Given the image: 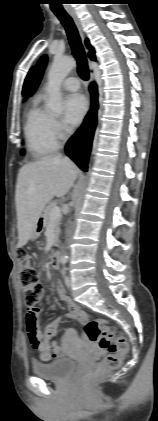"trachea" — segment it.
I'll return each mask as SVG.
<instances>
[{
  "instance_id": "3493384b",
  "label": "trachea",
  "mask_w": 158,
  "mask_h": 421,
  "mask_svg": "<svg viewBox=\"0 0 158 421\" xmlns=\"http://www.w3.org/2000/svg\"><path fill=\"white\" fill-rule=\"evenodd\" d=\"M55 15L66 30L73 56L77 61L78 74L83 80L86 81L89 78L87 60L81 44L78 30L73 22V19L67 13H55Z\"/></svg>"
}]
</instances>
